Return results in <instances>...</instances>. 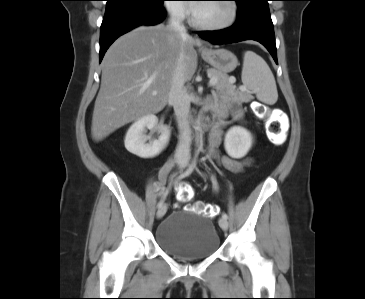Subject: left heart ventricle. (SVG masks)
<instances>
[{
    "label": "left heart ventricle",
    "mask_w": 365,
    "mask_h": 299,
    "mask_svg": "<svg viewBox=\"0 0 365 299\" xmlns=\"http://www.w3.org/2000/svg\"><path fill=\"white\" fill-rule=\"evenodd\" d=\"M196 18L205 24H221L231 16L229 2H208L197 4L194 11Z\"/></svg>",
    "instance_id": "obj_1"
}]
</instances>
